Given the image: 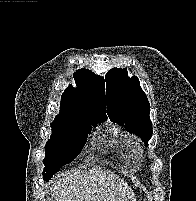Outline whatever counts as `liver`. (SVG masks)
Masks as SVG:
<instances>
[{"label": "liver", "instance_id": "1", "mask_svg": "<svg viewBox=\"0 0 196 201\" xmlns=\"http://www.w3.org/2000/svg\"><path fill=\"white\" fill-rule=\"evenodd\" d=\"M50 183L55 201H135L127 182L105 169L60 173Z\"/></svg>", "mask_w": 196, "mask_h": 201}]
</instances>
